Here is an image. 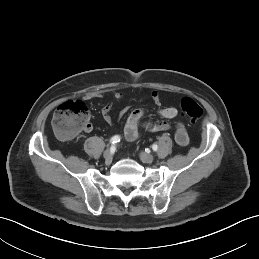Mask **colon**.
Wrapping results in <instances>:
<instances>
[{"label":"colon","instance_id":"colon-1","mask_svg":"<svg viewBox=\"0 0 259 259\" xmlns=\"http://www.w3.org/2000/svg\"><path fill=\"white\" fill-rule=\"evenodd\" d=\"M182 113L191 123H196L202 116V108L190 97H184L180 102ZM90 124V112L83 101L69 100L62 103L52 120L54 131L63 138H71Z\"/></svg>","mask_w":259,"mask_h":259}]
</instances>
